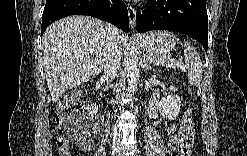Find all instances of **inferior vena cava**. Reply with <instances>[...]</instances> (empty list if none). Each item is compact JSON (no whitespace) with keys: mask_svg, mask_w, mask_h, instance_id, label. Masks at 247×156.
Returning a JSON list of instances; mask_svg holds the SVG:
<instances>
[{"mask_svg":"<svg viewBox=\"0 0 247 156\" xmlns=\"http://www.w3.org/2000/svg\"><path fill=\"white\" fill-rule=\"evenodd\" d=\"M108 35L107 50L104 55V72L110 78L114 79L120 68L122 49L119 45V30L111 24L105 26ZM113 102V101H112Z\"/></svg>","mask_w":247,"mask_h":156,"instance_id":"1","label":"inferior vena cava"}]
</instances>
